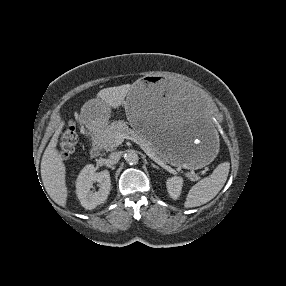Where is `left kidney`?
<instances>
[{
	"mask_svg": "<svg viewBox=\"0 0 286 286\" xmlns=\"http://www.w3.org/2000/svg\"><path fill=\"white\" fill-rule=\"evenodd\" d=\"M166 185L170 197L177 199L181 194L183 179L177 176L171 177L167 180Z\"/></svg>",
	"mask_w": 286,
	"mask_h": 286,
	"instance_id": "1",
	"label": "left kidney"
}]
</instances>
